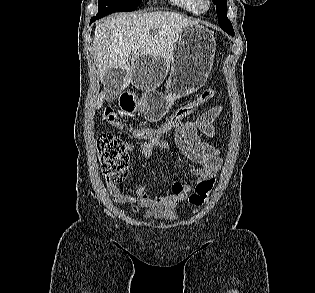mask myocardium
<instances>
[{"instance_id": "1", "label": "myocardium", "mask_w": 315, "mask_h": 293, "mask_svg": "<svg viewBox=\"0 0 315 293\" xmlns=\"http://www.w3.org/2000/svg\"><path fill=\"white\" fill-rule=\"evenodd\" d=\"M196 2L201 13L208 12L212 7V0H196Z\"/></svg>"}]
</instances>
